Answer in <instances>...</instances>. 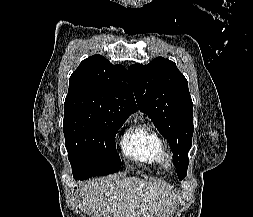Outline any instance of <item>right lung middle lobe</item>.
Segmentation results:
<instances>
[{"label":"right lung middle lobe","instance_id":"dd1d6c3e","mask_svg":"<svg viewBox=\"0 0 253 217\" xmlns=\"http://www.w3.org/2000/svg\"><path fill=\"white\" fill-rule=\"evenodd\" d=\"M124 121L80 112L64 113L65 145L76 180L104 176L120 169L115 131Z\"/></svg>","mask_w":253,"mask_h":217}]
</instances>
